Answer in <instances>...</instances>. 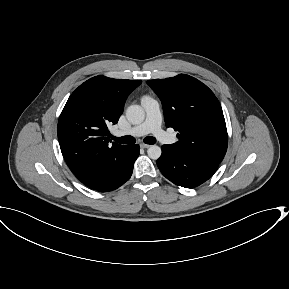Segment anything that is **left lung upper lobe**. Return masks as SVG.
<instances>
[{
	"instance_id": "1",
	"label": "left lung upper lobe",
	"mask_w": 289,
	"mask_h": 289,
	"mask_svg": "<svg viewBox=\"0 0 289 289\" xmlns=\"http://www.w3.org/2000/svg\"><path fill=\"white\" fill-rule=\"evenodd\" d=\"M147 83L162 102L166 126L179 131V141L169 146L182 154L220 163L227 151L228 136L214 93L186 74Z\"/></svg>"
}]
</instances>
